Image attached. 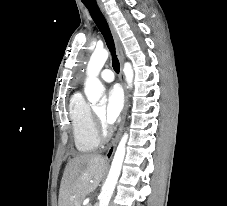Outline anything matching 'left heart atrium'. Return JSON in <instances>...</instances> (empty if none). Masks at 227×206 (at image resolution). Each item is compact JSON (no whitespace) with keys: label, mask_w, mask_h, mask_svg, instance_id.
Listing matches in <instances>:
<instances>
[{"label":"left heart atrium","mask_w":227,"mask_h":206,"mask_svg":"<svg viewBox=\"0 0 227 206\" xmlns=\"http://www.w3.org/2000/svg\"><path fill=\"white\" fill-rule=\"evenodd\" d=\"M124 104L123 92L119 86H113L109 89L107 95L106 110L103 115V121L106 125L113 124L122 111Z\"/></svg>","instance_id":"39dd6f15"}]
</instances>
